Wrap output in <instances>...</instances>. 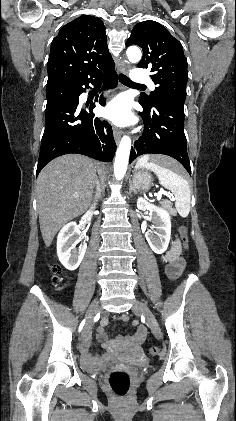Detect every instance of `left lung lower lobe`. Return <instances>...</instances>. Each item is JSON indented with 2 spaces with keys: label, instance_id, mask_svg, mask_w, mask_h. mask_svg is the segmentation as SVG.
I'll list each match as a JSON object with an SVG mask.
<instances>
[{
  "label": "left lung lower lobe",
  "instance_id": "1",
  "mask_svg": "<svg viewBox=\"0 0 236 421\" xmlns=\"http://www.w3.org/2000/svg\"><path fill=\"white\" fill-rule=\"evenodd\" d=\"M184 102L180 96L165 95L151 108L139 113L143 118L144 132L135 141L130 163L142 154H164L178 160L191 175L184 134Z\"/></svg>",
  "mask_w": 236,
  "mask_h": 421
}]
</instances>
